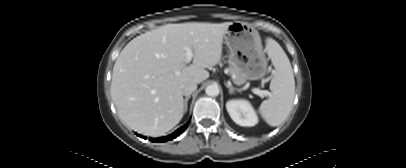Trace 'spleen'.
I'll return each mask as SVG.
<instances>
[{"label":"spleen","mask_w":406,"mask_h":168,"mask_svg":"<svg viewBox=\"0 0 406 168\" xmlns=\"http://www.w3.org/2000/svg\"><path fill=\"white\" fill-rule=\"evenodd\" d=\"M266 51L275 67V75L270 82L271 97L261 103L259 113L270 126H278L291 112L295 79L286 53L275 40L267 39Z\"/></svg>","instance_id":"spleen-1"}]
</instances>
